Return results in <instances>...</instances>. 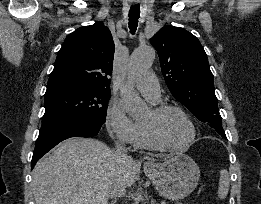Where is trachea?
I'll return each mask as SVG.
<instances>
[{"label": "trachea", "mask_w": 261, "mask_h": 204, "mask_svg": "<svg viewBox=\"0 0 261 204\" xmlns=\"http://www.w3.org/2000/svg\"><path fill=\"white\" fill-rule=\"evenodd\" d=\"M140 17L139 5L131 6L129 10V29L131 34H135Z\"/></svg>", "instance_id": "3493384b"}]
</instances>
